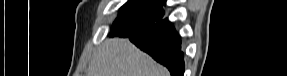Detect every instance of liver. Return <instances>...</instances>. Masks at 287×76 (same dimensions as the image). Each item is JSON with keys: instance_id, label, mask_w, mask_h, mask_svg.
I'll list each match as a JSON object with an SVG mask.
<instances>
[{"instance_id": "6515ba94", "label": "liver", "mask_w": 287, "mask_h": 76, "mask_svg": "<svg viewBox=\"0 0 287 76\" xmlns=\"http://www.w3.org/2000/svg\"><path fill=\"white\" fill-rule=\"evenodd\" d=\"M88 76H168V71L128 39L106 40L88 65Z\"/></svg>"}]
</instances>
